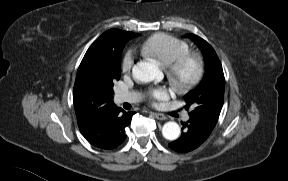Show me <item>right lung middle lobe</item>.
Segmentation results:
<instances>
[{
    "label": "right lung middle lobe",
    "instance_id": "obj_1",
    "mask_svg": "<svg viewBox=\"0 0 288 181\" xmlns=\"http://www.w3.org/2000/svg\"><path fill=\"white\" fill-rule=\"evenodd\" d=\"M128 39L121 38L118 42L109 47L105 53L104 68L102 71V79L109 90L113 93V82L119 80L121 69L120 60L121 53Z\"/></svg>",
    "mask_w": 288,
    "mask_h": 181
}]
</instances>
